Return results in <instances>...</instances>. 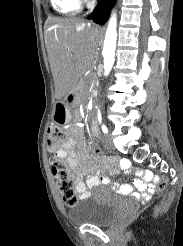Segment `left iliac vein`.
Returning a JSON list of instances; mask_svg holds the SVG:
<instances>
[{
	"label": "left iliac vein",
	"instance_id": "4c4485c4",
	"mask_svg": "<svg viewBox=\"0 0 183 246\" xmlns=\"http://www.w3.org/2000/svg\"><path fill=\"white\" fill-rule=\"evenodd\" d=\"M104 144H105V147L108 149V150H113L114 149V145H113V142H112V137L111 136H105L104 137Z\"/></svg>",
	"mask_w": 183,
	"mask_h": 246
}]
</instances>
